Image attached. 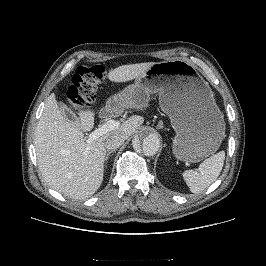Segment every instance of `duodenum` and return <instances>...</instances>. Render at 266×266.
Masks as SVG:
<instances>
[{"label": "duodenum", "mask_w": 266, "mask_h": 266, "mask_svg": "<svg viewBox=\"0 0 266 266\" xmlns=\"http://www.w3.org/2000/svg\"><path fill=\"white\" fill-rule=\"evenodd\" d=\"M102 115L104 117H112L114 115H116V111L114 108H107L102 112Z\"/></svg>", "instance_id": "1"}]
</instances>
